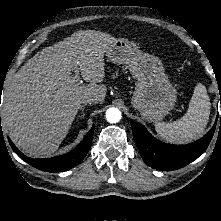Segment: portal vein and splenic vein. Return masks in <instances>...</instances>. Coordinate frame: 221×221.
Returning <instances> with one entry per match:
<instances>
[{
    "mask_svg": "<svg viewBox=\"0 0 221 221\" xmlns=\"http://www.w3.org/2000/svg\"><path fill=\"white\" fill-rule=\"evenodd\" d=\"M74 70L77 72L78 69H77V68H74ZM74 81H75V82H78V81H79V75H78V73L75 74V76H74Z\"/></svg>",
    "mask_w": 221,
    "mask_h": 221,
    "instance_id": "obj_1",
    "label": "portal vein and splenic vein"
}]
</instances>
